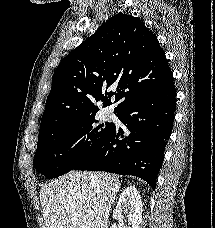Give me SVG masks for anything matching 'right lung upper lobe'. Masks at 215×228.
Instances as JSON below:
<instances>
[{
	"label": "right lung upper lobe",
	"instance_id": "obj_1",
	"mask_svg": "<svg viewBox=\"0 0 215 228\" xmlns=\"http://www.w3.org/2000/svg\"><path fill=\"white\" fill-rule=\"evenodd\" d=\"M172 76L156 36L138 18L116 14L56 68L40 129L83 119L98 112L94 105L120 102L117 112L134 97L140 84ZM111 85L115 92H106ZM105 93V96L103 95Z\"/></svg>",
	"mask_w": 215,
	"mask_h": 228
}]
</instances>
